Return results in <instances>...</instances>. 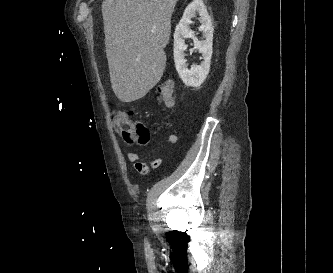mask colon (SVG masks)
<instances>
[{
	"instance_id": "5ec220e1",
	"label": "colon",
	"mask_w": 333,
	"mask_h": 273,
	"mask_svg": "<svg viewBox=\"0 0 333 273\" xmlns=\"http://www.w3.org/2000/svg\"><path fill=\"white\" fill-rule=\"evenodd\" d=\"M157 99L165 106L174 104V88L171 81H165L157 87ZM116 133L127 143L145 145L150 140L148 128L139 120L133 119L126 111H118L113 120ZM136 169L145 174L148 172V166L144 162H137Z\"/></svg>"
}]
</instances>
